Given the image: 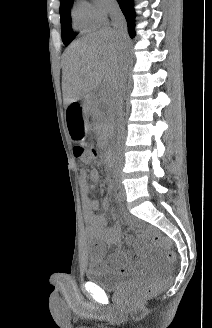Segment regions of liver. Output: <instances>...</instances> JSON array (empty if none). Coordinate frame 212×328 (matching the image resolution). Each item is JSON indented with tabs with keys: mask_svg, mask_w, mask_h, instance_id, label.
<instances>
[{
	"mask_svg": "<svg viewBox=\"0 0 212 328\" xmlns=\"http://www.w3.org/2000/svg\"><path fill=\"white\" fill-rule=\"evenodd\" d=\"M126 38L106 27L73 42L63 54L62 91L65 104L102 87L111 94L123 67Z\"/></svg>",
	"mask_w": 212,
	"mask_h": 328,
	"instance_id": "liver-1",
	"label": "liver"
}]
</instances>
